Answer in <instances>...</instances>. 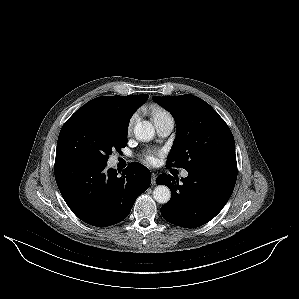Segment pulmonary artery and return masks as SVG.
<instances>
[{
	"label": "pulmonary artery",
	"instance_id": "1",
	"mask_svg": "<svg viewBox=\"0 0 299 299\" xmlns=\"http://www.w3.org/2000/svg\"><path fill=\"white\" fill-rule=\"evenodd\" d=\"M175 121L172 116L164 117L155 121V127L157 134L160 137H167L173 130ZM182 177H187L188 172L183 170L181 172Z\"/></svg>",
	"mask_w": 299,
	"mask_h": 299
}]
</instances>
